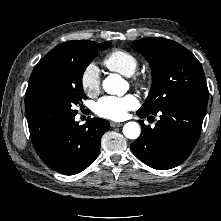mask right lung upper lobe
<instances>
[{"label": "right lung upper lobe", "mask_w": 221, "mask_h": 221, "mask_svg": "<svg viewBox=\"0 0 221 221\" xmlns=\"http://www.w3.org/2000/svg\"><path fill=\"white\" fill-rule=\"evenodd\" d=\"M77 42H80V40L68 41V42L61 43V44L57 45L55 48H53L49 52V54L53 53V52H55V51H57L59 49H63L65 47H67V46H69L71 44L77 43ZM32 86H33V76L31 75L30 80H29V85H28V88H27V91H26V94H25V105L33 102L32 98H31Z\"/></svg>", "instance_id": "1"}]
</instances>
